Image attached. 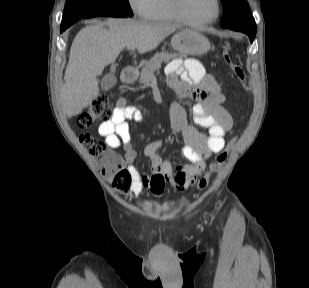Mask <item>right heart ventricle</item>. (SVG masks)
Here are the masks:
<instances>
[{
    "mask_svg": "<svg viewBox=\"0 0 309 288\" xmlns=\"http://www.w3.org/2000/svg\"><path fill=\"white\" fill-rule=\"evenodd\" d=\"M147 19L155 22L179 23L173 13L171 0H152Z\"/></svg>",
    "mask_w": 309,
    "mask_h": 288,
    "instance_id": "1",
    "label": "right heart ventricle"
}]
</instances>
